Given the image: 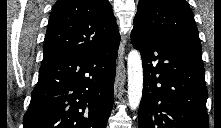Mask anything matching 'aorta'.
Here are the masks:
<instances>
[{
	"label": "aorta",
	"mask_w": 221,
	"mask_h": 128,
	"mask_svg": "<svg viewBox=\"0 0 221 128\" xmlns=\"http://www.w3.org/2000/svg\"><path fill=\"white\" fill-rule=\"evenodd\" d=\"M128 72V105L132 110L137 109L142 98L143 68L141 55L138 50H131L127 59Z\"/></svg>",
	"instance_id": "obj_1"
}]
</instances>
